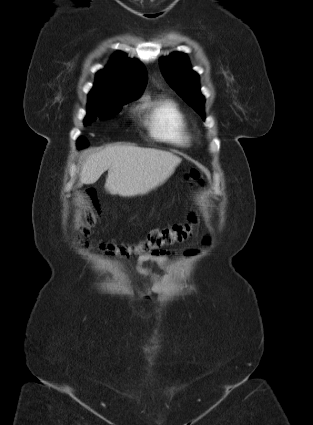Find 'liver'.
I'll return each mask as SVG.
<instances>
[{
    "instance_id": "1",
    "label": "liver",
    "mask_w": 313,
    "mask_h": 425,
    "mask_svg": "<svg viewBox=\"0 0 313 425\" xmlns=\"http://www.w3.org/2000/svg\"><path fill=\"white\" fill-rule=\"evenodd\" d=\"M182 159L170 152L132 145L108 146L91 153L80 171L82 184H94L108 171L105 190L112 195H145L162 185Z\"/></svg>"
}]
</instances>
